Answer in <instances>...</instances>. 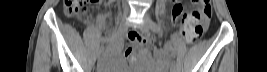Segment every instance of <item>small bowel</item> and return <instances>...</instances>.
<instances>
[{
  "label": "small bowel",
  "instance_id": "c3829d8e",
  "mask_svg": "<svg viewBox=\"0 0 267 72\" xmlns=\"http://www.w3.org/2000/svg\"><path fill=\"white\" fill-rule=\"evenodd\" d=\"M175 6H179L180 10L174 11L173 8ZM173 8H172V18H173L174 22L181 21V22H184L185 24H188V23H192L195 21V17L191 13L183 14L182 6L179 3L174 4ZM162 10H163V8H162ZM123 40L127 44V48L125 50L126 58H130L132 56L134 43H137L140 46H145V45L151 44L153 42L152 38H149L148 36H139V35H136L135 33L128 34ZM155 55L157 58L162 57V54L160 51H155ZM147 61L149 63H152L150 58H148ZM155 71H159V70H157L155 68H153V70H151V72H155Z\"/></svg>",
  "mask_w": 267,
  "mask_h": 72
}]
</instances>
